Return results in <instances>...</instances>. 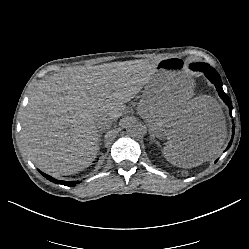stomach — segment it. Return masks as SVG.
Instances as JSON below:
<instances>
[{
  "mask_svg": "<svg viewBox=\"0 0 249 249\" xmlns=\"http://www.w3.org/2000/svg\"><path fill=\"white\" fill-rule=\"evenodd\" d=\"M162 86V87H159ZM193 81L178 58H165L156 65V73L143 94V116L158 135L173 134L182 124L189 108Z\"/></svg>",
  "mask_w": 249,
  "mask_h": 249,
  "instance_id": "1",
  "label": "stomach"
}]
</instances>
